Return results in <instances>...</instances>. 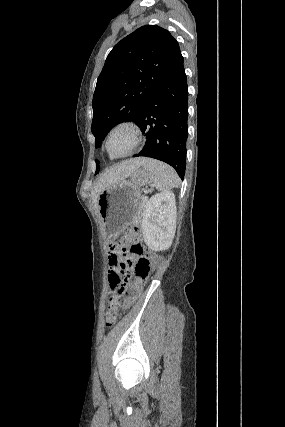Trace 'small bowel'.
<instances>
[{
	"label": "small bowel",
	"mask_w": 285,
	"mask_h": 427,
	"mask_svg": "<svg viewBox=\"0 0 285 427\" xmlns=\"http://www.w3.org/2000/svg\"><path fill=\"white\" fill-rule=\"evenodd\" d=\"M112 250L113 249L111 248V251ZM126 258H127L126 254L116 256V255H113L111 253L110 257H109V265H110L109 274H121L122 271L118 266V261L119 260H125ZM155 261H156V258H155ZM133 301H134V299L128 300V305H130Z\"/></svg>",
	"instance_id": "small-bowel-1"
}]
</instances>
